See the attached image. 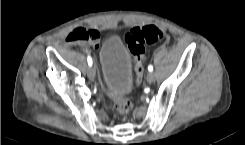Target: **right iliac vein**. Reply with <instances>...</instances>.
Masks as SVG:
<instances>
[{
  "instance_id": "1",
  "label": "right iliac vein",
  "mask_w": 245,
  "mask_h": 145,
  "mask_svg": "<svg viewBox=\"0 0 245 145\" xmlns=\"http://www.w3.org/2000/svg\"><path fill=\"white\" fill-rule=\"evenodd\" d=\"M95 76H96L95 68L94 67H90L88 69V77H89V79L94 80Z\"/></svg>"
}]
</instances>
